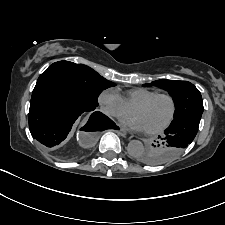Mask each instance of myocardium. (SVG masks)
Returning <instances> with one entry per match:
<instances>
[{
  "label": "myocardium",
  "mask_w": 225,
  "mask_h": 225,
  "mask_svg": "<svg viewBox=\"0 0 225 225\" xmlns=\"http://www.w3.org/2000/svg\"><path fill=\"white\" fill-rule=\"evenodd\" d=\"M161 97H165L167 99H169V101L171 102V114L168 118V120L161 125L160 127H157L155 129H151V130H145L146 133L148 134H158L163 132L164 130H166L174 121L175 115H176V111H177V104H176V100L175 98L169 94V93H156L153 96L145 99L144 101L136 104L133 108H142L145 107L147 105H149L150 103H152L154 100L161 98Z\"/></svg>",
  "instance_id": "myocardium-1"
}]
</instances>
